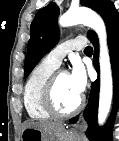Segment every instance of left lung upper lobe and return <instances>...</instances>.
Instances as JSON below:
<instances>
[{
  "label": "left lung upper lobe",
  "mask_w": 119,
  "mask_h": 141,
  "mask_svg": "<svg viewBox=\"0 0 119 141\" xmlns=\"http://www.w3.org/2000/svg\"><path fill=\"white\" fill-rule=\"evenodd\" d=\"M83 6L95 10L106 21L116 11L113 3L109 0H80ZM59 7L51 2L40 9L30 26V40L25 58L24 76L27 77L40 59L48 53L59 40L57 18ZM88 32V37L93 35Z\"/></svg>",
  "instance_id": "obj_1"
}]
</instances>
